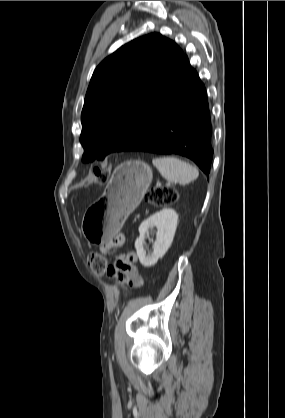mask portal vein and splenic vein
<instances>
[{"label": "portal vein and splenic vein", "instance_id": "18ae733b", "mask_svg": "<svg viewBox=\"0 0 285 418\" xmlns=\"http://www.w3.org/2000/svg\"><path fill=\"white\" fill-rule=\"evenodd\" d=\"M167 185L169 186L170 185V182H168Z\"/></svg>", "mask_w": 285, "mask_h": 418}]
</instances>
